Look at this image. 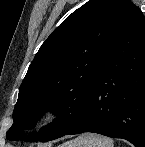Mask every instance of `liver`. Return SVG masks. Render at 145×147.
Wrapping results in <instances>:
<instances>
[{
  "instance_id": "liver-1",
  "label": "liver",
  "mask_w": 145,
  "mask_h": 147,
  "mask_svg": "<svg viewBox=\"0 0 145 147\" xmlns=\"http://www.w3.org/2000/svg\"><path fill=\"white\" fill-rule=\"evenodd\" d=\"M66 145H68V142L63 144V145H61L60 147H66Z\"/></svg>"
}]
</instances>
